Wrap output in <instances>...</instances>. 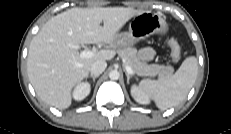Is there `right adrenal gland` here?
Returning <instances> with one entry per match:
<instances>
[{
  "label": "right adrenal gland",
  "instance_id": "right-adrenal-gland-1",
  "mask_svg": "<svg viewBox=\"0 0 231 134\" xmlns=\"http://www.w3.org/2000/svg\"><path fill=\"white\" fill-rule=\"evenodd\" d=\"M99 76H94V75H90V78L93 79V82L95 83V79L98 78Z\"/></svg>",
  "mask_w": 231,
  "mask_h": 134
}]
</instances>
